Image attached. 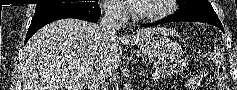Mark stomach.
I'll return each mask as SVG.
<instances>
[{
    "mask_svg": "<svg viewBox=\"0 0 237 90\" xmlns=\"http://www.w3.org/2000/svg\"><path fill=\"white\" fill-rule=\"evenodd\" d=\"M140 48L150 62L158 65L175 62L182 54V49L177 43L158 34L150 35L141 41Z\"/></svg>",
    "mask_w": 237,
    "mask_h": 90,
    "instance_id": "1",
    "label": "stomach"
}]
</instances>
